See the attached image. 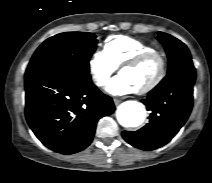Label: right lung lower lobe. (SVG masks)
<instances>
[{
	"mask_svg": "<svg viewBox=\"0 0 212 183\" xmlns=\"http://www.w3.org/2000/svg\"><path fill=\"white\" fill-rule=\"evenodd\" d=\"M25 91L30 128L45 146L61 154L85 149L98 120L115 110L112 99L96 88L89 74L28 71Z\"/></svg>",
	"mask_w": 212,
	"mask_h": 183,
	"instance_id": "1",
	"label": "right lung lower lobe"
}]
</instances>
